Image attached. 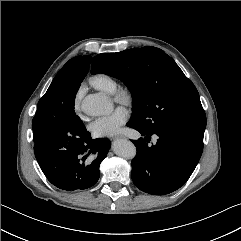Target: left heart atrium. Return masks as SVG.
Wrapping results in <instances>:
<instances>
[{
    "label": "left heart atrium",
    "instance_id": "39dd6f15",
    "mask_svg": "<svg viewBox=\"0 0 241 241\" xmlns=\"http://www.w3.org/2000/svg\"><path fill=\"white\" fill-rule=\"evenodd\" d=\"M127 112L119 107L106 116L97 118L90 125V131L95 137L113 136L120 132L121 126L127 120Z\"/></svg>",
    "mask_w": 241,
    "mask_h": 241
}]
</instances>
